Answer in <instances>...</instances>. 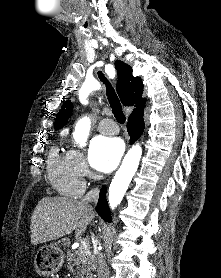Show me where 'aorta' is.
Returning <instances> with one entry per match:
<instances>
[{
    "mask_svg": "<svg viewBox=\"0 0 221 278\" xmlns=\"http://www.w3.org/2000/svg\"><path fill=\"white\" fill-rule=\"evenodd\" d=\"M91 127L89 117L80 119L75 127L73 137L80 146H84ZM142 155V148L139 144L132 146L126 154L120 169L116 172L109 187V204L112 209L119 205L126 193L128 186L137 171Z\"/></svg>",
    "mask_w": 221,
    "mask_h": 278,
    "instance_id": "1",
    "label": "aorta"
}]
</instances>
